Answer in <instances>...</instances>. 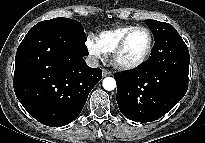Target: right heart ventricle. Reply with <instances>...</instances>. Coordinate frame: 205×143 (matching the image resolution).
Wrapping results in <instances>:
<instances>
[{
	"instance_id": "1",
	"label": "right heart ventricle",
	"mask_w": 205,
	"mask_h": 143,
	"mask_svg": "<svg viewBox=\"0 0 205 143\" xmlns=\"http://www.w3.org/2000/svg\"><path fill=\"white\" fill-rule=\"evenodd\" d=\"M132 27L134 26L121 25L99 33L95 40L103 54H111L123 35Z\"/></svg>"
}]
</instances>
